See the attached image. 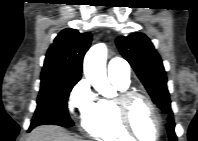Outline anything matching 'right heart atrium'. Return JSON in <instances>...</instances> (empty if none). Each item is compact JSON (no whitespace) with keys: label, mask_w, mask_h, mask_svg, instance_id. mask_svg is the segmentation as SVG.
Segmentation results:
<instances>
[{"label":"right heart atrium","mask_w":198,"mask_h":141,"mask_svg":"<svg viewBox=\"0 0 198 141\" xmlns=\"http://www.w3.org/2000/svg\"><path fill=\"white\" fill-rule=\"evenodd\" d=\"M94 104L95 98L89 82L81 79L69 93L67 101L69 113L84 121L92 111Z\"/></svg>","instance_id":"d8ad5b80"}]
</instances>
